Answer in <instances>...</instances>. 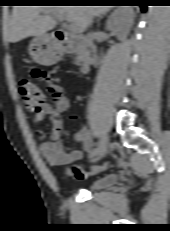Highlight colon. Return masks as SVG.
Listing matches in <instances>:
<instances>
[{"label": "colon", "mask_w": 170, "mask_h": 231, "mask_svg": "<svg viewBox=\"0 0 170 231\" xmlns=\"http://www.w3.org/2000/svg\"><path fill=\"white\" fill-rule=\"evenodd\" d=\"M18 91L26 108L29 111L36 113L43 103L42 92L39 87L32 80L23 78L18 83ZM106 166V164H100L89 170H85L80 166L72 165L67 167L66 175L82 180L87 178L89 175L102 172L106 169Z\"/></svg>", "instance_id": "1"}]
</instances>
